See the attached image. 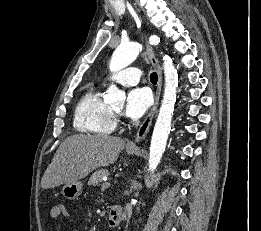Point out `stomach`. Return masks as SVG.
<instances>
[{
  "mask_svg": "<svg viewBox=\"0 0 261 231\" xmlns=\"http://www.w3.org/2000/svg\"><path fill=\"white\" fill-rule=\"evenodd\" d=\"M129 155H132L136 152V149H127ZM83 184L81 181H75L73 183H66L62 188V194L65 198L73 200L77 198L82 193Z\"/></svg>",
  "mask_w": 261,
  "mask_h": 231,
  "instance_id": "stomach-1",
  "label": "stomach"
}]
</instances>
